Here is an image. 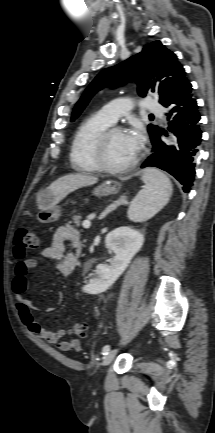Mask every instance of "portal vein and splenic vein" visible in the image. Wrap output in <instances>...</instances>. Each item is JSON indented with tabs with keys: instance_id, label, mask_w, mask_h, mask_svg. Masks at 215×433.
<instances>
[{
	"instance_id": "1",
	"label": "portal vein and splenic vein",
	"mask_w": 215,
	"mask_h": 433,
	"mask_svg": "<svg viewBox=\"0 0 215 433\" xmlns=\"http://www.w3.org/2000/svg\"><path fill=\"white\" fill-rule=\"evenodd\" d=\"M83 227L84 228H90V226H91V221H90V219H86V220H84V222H83Z\"/></svg>"
}]
</instances>
